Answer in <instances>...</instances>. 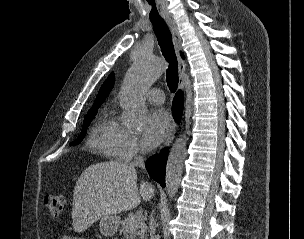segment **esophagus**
I'll list each match as a JSON object with an SVG mask.
<instances>
[{"instance_id":"obj_1","label":"esophagus","mask_w":304,"mask_h":239,"mask_svg":"<svg viewBox=\"0 0 304 239\" xmlns=\"http://www.w3.org/2000/svg\"><path fill=\"white\" fill-rule=\"evenodd\" d=\"M166 23L169 26L171 34H172L173 44H174V47H175V52H176L177 60H178V71H179V77H180L179 89H183V87H184L183 76H184L185 71H186V62L180 55L181 38L179 36V33H178V30L176 28L175 23L170 18L166 19ZM176 127H177V124H176L175 121H173L172 126H171L170 131H169V134H168V136L166 138V141L164 143V147L168 146L173 141L174 134H175V131H176Z\"/></svg>"}]
</instances>
